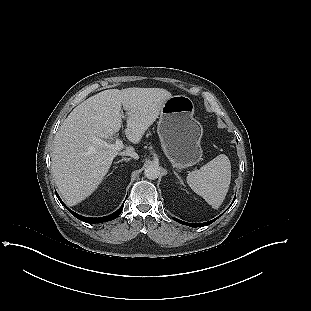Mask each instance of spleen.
<instances>
[{
    "label": "spleen",
    "mask_w": 311,
    "mask_h": 311,
    "mask_svg": "<svg viewBox=\"0 0 311 311\" xmlns=\"http://www.w3.org/2000/svg\"><path fill=\"white\" fill-rule=\"evenodd\" d=\"M231 181L229 158L220 154L213 160L192 171L187 176L190 188L213 208H219L224 201Z\"/></svg>",
    "instance_id": "3e777b00"
}]
</instances>
